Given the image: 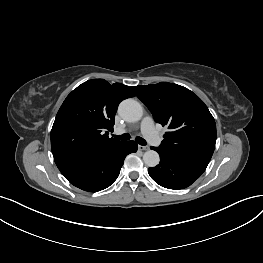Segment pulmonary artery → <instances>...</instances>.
I'll return each mask as SVG.
<instances>
[{"instance_id":"obj_1","label":"pulmonary artery","mask_w":263,"mask_h":263,"mask_svg":"<svg viewBox=\"0 0 263 263\" xmlns=\"http://www.w3.org/2000/svg\"><path fill=\"white\" fill-rule=\"evenodd\" d=\"M141 131L145 138L154 146H159L161 144V137L156 131L153 123V119L150 116L143 118L141 122ZM116 133H123V130H117Z\"/></svg>"}]
</instances>
